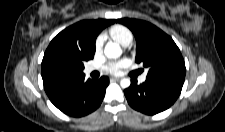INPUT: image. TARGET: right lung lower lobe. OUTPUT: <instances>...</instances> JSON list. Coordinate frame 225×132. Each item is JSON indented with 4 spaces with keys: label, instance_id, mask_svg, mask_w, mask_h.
<instances>
[{
    "label": "right lung lower lobe",
    "instance_id": "1",
    "mask_svg": "<svg viewBox=\"0 0 225 132\" xmlns=\"http://www.w3.org/2000/svg\"><path fill=\"white\" fill-rule=\"evenodd\" d=\"M108 84L106 76L85 80V75L81 73L45 88V91L50 101L63 113L81 117L100 106Z\"/></svg>",
    "mask_w": 225,
    "mask_h": 132
}]
</instances>
